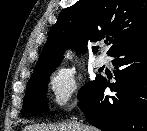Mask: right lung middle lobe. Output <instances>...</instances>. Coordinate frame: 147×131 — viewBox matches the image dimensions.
<instances>
[{
    "mask_svg": "<svg viewBox=\"0 0 147 131\" xmlns=\"http://www.w3.org/2000/svg\"><path fill=\"white\" fill-rule=\"evenodd\" d=\"M52 72L53 69H50L33 75L30 78L24 98L23 108L21 111L22 115L48 111L46 105V87ZM97 78L98 77H96V79ZM96 79L87 83L85 87L79 91L78 97L80 99L87 93Z\"/></svg>",
    "mask_w": 147,
    "mask_h": 131,
    "instance_id": "right-lung-middle-lobe-1",
    "label": "right lung middle lobe"
}]
</instances>
